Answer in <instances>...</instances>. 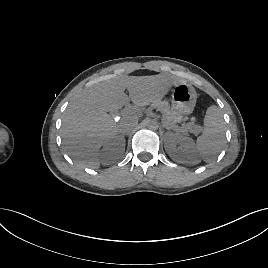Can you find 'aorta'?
I'll list each match as a JSON object with an SVG mask.
<instances>
[{
    "label": "aorta",
    "mask_w": 268,
    "mask_h": 268,
    "mask_svg": "<svg viewBox=\"0 0 268 268\" xmlns=\"http://www.w3.org/2000/svg\"><path fill=\"white\" fill-rule=\"evenodd\" d=\"M146 126L148 129L155 131L159 128V122L156 119H148Z\"/></svg>",
    "instance_id": "obj_1"
}]
</instances>
